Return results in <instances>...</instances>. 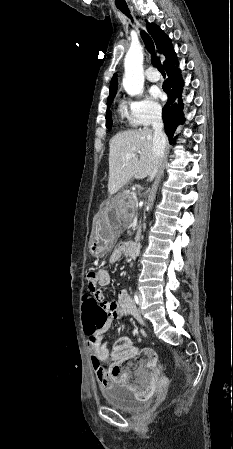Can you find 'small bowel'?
Listing matches in <instances>:
<instances>
[{
  "instance_id": "1",
  "label": "small bowel",
  "mask_w": 233,
  "mask_h": 449,
  "mask_svg": "<svg viewBox=\"0 0 233 449\" xmlns=\"http://www.w3.org/2000/svg\"><path fill=\"white\" fill-rule=\"evenodd\" d=\"M125 254L124 247L117 249L110 256L109 262L115 263ZM110 282L111 275L107 269L99 268L98 270L88 271L87 285L89 287L87 292L94 295V302L98 303L100 307H104L107 314L104 328H83L87 336L92 366L102 387H108L113 382L123 383L128 380L130 390H134V399H149L150 394H153L157 387L156 377H162L164 373L162 364L157 363V355L152 349L139 348L130 340L122 341L120 346L114 348L110 368L106 369L103 365L109 356L105 335L111 322L132 313L134 310L133 300L125 289L119 292L117 301L103 299L104 294L99 286H107ZM134 358H140V361L135 370L136 375H130V371L125 366L130 364Z\"/></svg>"
}]
</instances>
